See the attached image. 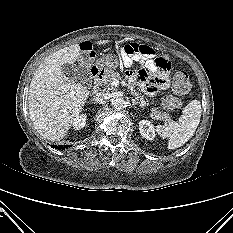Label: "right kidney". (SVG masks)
<instances>
[{
  "label": "right kidney",
  "mask_w": 233,
  "mask_h": 233,
  "mask_svg": "<svg viewBox=\"0 0 233 233\" xmlns=\"http://www.w3.org/2000/svg\"><path fill=\"white\" fill-rule=\"evenodd\" d=\"M86 124V115L82 114L80 116H77L73 121V127L75 130H79L83 128Z\"/></svg>",
  "instance_id": "right-kidney-1"
}]
</instances>
